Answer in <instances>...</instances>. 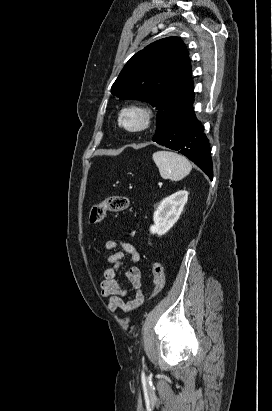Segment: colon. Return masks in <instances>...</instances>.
<instances>
[{"mask_svg":"<svg viewBox=\"0 0 272 411\" xmlns=\"http://www.w3.org/2000/svg\"><path fill=\"white\" fill-rule=\"evenodd\" d=\"M130 199L125 196H112L104 201L95 204L89 213V222L91 225H99L103 222L108 212H121L130 206ZM152 273L154 278V288L150 298L157 296L164 287V271L162 264L158 261L152 264ZM144 300V299H143ZM143 302V301H142Z\"/></svg>","mask_w":272,"mask_h":411,"instance_id":"1","label":"colon"}]
</instances>
